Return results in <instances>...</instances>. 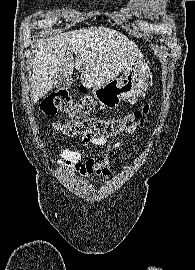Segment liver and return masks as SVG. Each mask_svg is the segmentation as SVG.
Wrapping results in <instances>:
<instances>
[{
    "mask_svg": "<svg viewBox=\"0 0 195 270\" xmlns=\"http://www.w3.org/2000/svg\"><path fill=\"white\" fill-rule=\"evenodd\" d=\"M35 53L31 77L32 102L45 96L59 76L71 75L74 67L81 73L82 85L90 89L116 79L143 58L133 41L103 26L58 32L38 41Z\"/></svg>",
    "mask_w": 195,
    "mask_h": 270,
    "instance_id": "liver-1",
    "label": "liver"
}]
</instances>
